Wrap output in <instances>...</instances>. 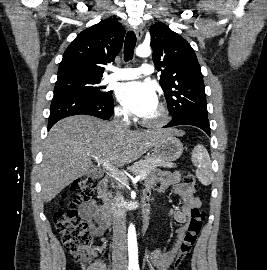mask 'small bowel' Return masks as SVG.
<instances>
[{
    "label": "small bowel",
    "mask_w": 267,
    "mask_h": 270,
    "mask_svg": "<svg viewBox=\"0 0 267 270\" xmlns=\"http://www.w3.org/2000/svg\"><path fill=\"white\" fill-rule=\"evenodd\" d=\"M169 189L182 199L181 206L169 213L180 226L176 229V241L170 248L159 247L151 254V263L159 270H166L171 265L179 251L193 211L201 209V201L196 197L195 190L181 182L180 173L177 171H160L150 176L146 181L145 197L150 200L154 190L164 193ZM79 214L88 224L91 235L95 237L103 235L110 227L104 208L94 201L84 203L79 208Z\"/></svg>",
    "instance_id": "obj_1"
}]
</instances>
